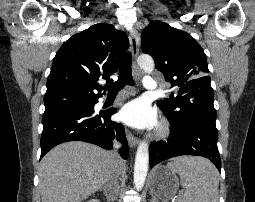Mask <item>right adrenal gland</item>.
Returning a JSON list of instances; mask_svg holds the SVG:
<instances>
[{
	"label": "right adrenal gland",
	"mask_w": 255,
	"mask_h": 202,
	"mask_svg": "<svg viewBox=\"0 0 255 202\" xmlns=\"http://www.w3.org/2000/svg\"><path fill=\"white\" fill-rule=\"evenodd\" d=\"M102 190H103L104 195H105V197L107 198V200H108V201H114V199H113V198L109 197V195L106 193V191H105V189H104V188H101V189H100V191H102Z\"/></svg>",
	"instance_id": "1"
}]
</instances>
